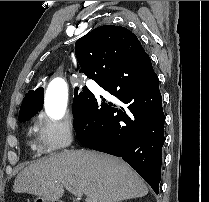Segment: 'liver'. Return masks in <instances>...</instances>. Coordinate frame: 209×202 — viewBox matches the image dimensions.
<instances>
[{
	"instance_id": "obj_1",
	"label": "liver",
	"mask_w": 209,
	"mask_h": 202,
	"mask_svg": "<svg viewBox=\"0 0 209 202\" xmlns=\"http://www.w3.org/2000/svg\"><path fill=\"white\" fill-rule=\"evenodd\" d=\"M62 181L80 189L86 202H118L148 193V187L124 161L80 149L53 153L25 167L16 177L14 193L59 200Z\"/></svg>"
}]
</instances>
